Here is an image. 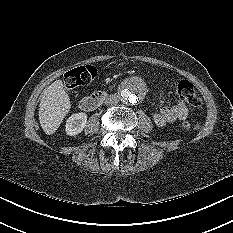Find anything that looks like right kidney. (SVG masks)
Returning <instances> with one entry per match:
<instances>
[{"label": "right kidney", "instance_id": "right-kidney-1", "mask_svg": "<svg viewBox=\"0 0 233 233\" xmlns=\"http://www.w3.org/2000/svg\"><path fill=\"white\" fill-rule=\"evenodd\" d=\"M87 122V114L84 112L72 114L66 121L65 131L69 136L78 135L83 131Z\"/></svg>", "mask_w": 233, "mask_h": 233}]
</instances>
